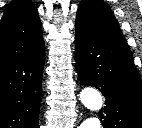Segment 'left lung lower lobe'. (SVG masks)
<instances>
[{
	"instance_id": "obj_1",
	"label": "left lung lower lobe",
	"mask_w": 142,
	"mask_h": 128,
	"mask_svg": "<svg viewBox=\"0 0 142 128\" xmlns=\"http://www.w3.org/2000/svg\"><path fill=\"white\" fill-rule=\"evenodd\" d=\"M76 63L81 82L106 98L103 128H142V84L128 45L76 25Z\"/></svg>"
}]
</instances>
